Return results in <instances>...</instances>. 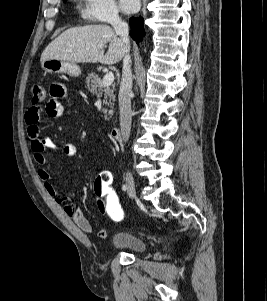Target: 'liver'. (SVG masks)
<instances>
[{
	"label": "liver",
	"instance_id": "1",
	"mask_svg": "<svg viewBox=\"0 0 267 301\" xmlns=\"http://www.w3.org/2000/svg\"><path fill=\"white\" fill-rule=\"evenodd\" d=\"M109 43L104 54V47ZM126 46L107 25L71 28L60 34L43 51L40 61L59 59L72 63L116 64L126 54Z\"/></svg>",
	"mask_w": 267,
	"mask_h": 301
}]
</instances>
